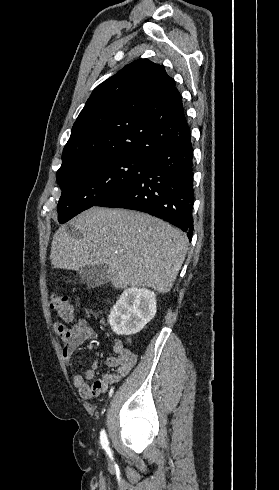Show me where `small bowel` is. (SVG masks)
Returning a JSON list of instances; mask_svg holds the SVG:
<instances>
[{
	"label": "small bowel",
	"instance_id": "small-bowel-1",
	"mask_svg": "<svg viewBox=\"0 0 279 490\" xmlns=\"http://www.w3.org/2000/svg\"><path fill=\"white\" fill-rule=\"evenodd\" d=\"M54 332L61 342L63 349V358L66 364L73 362L74 353L78 347L88 340L97 338L95 329L89 325L86 320L79 319L73 326L67 327L64 324L56 323ZM114 355L107 359V364L114 368L111 373H104L100 380L90 382L95 377L99 362L95 360L90 369L84 375L74 374L73 384L81 397L88 399L98 397L104 394L109 387L116 384L121 378L125 377L137 362L136 355L127 349L121 340L114 341ZM82 360H79L77 366H81Z\"/></svg>",
	"mask_w": 279,
	"mask_h": 490
}]
</instances>
